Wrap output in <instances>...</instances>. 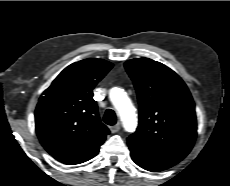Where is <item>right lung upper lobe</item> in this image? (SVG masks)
Segmentation results:
<instances>
[{
  "instance_id": "right-lung-upper-lobe-1",
  "label": "right lung upper lobe",
  "mask_w": 230,
  "mask_h": 186,
  "mask_svg": "<svg viewBox=\"0 0 230 186\" xmlns=\"http://www.w3.org/2000/svg\"><path fill=\"white\" fill-rule=\"evenodd\" d=\"M113 64L84 59L65 68L39 99L37 136L48 153L65 164H79L99 152L109 134L98 117L92 90Z\"/></svg>"
}]
</instances>
